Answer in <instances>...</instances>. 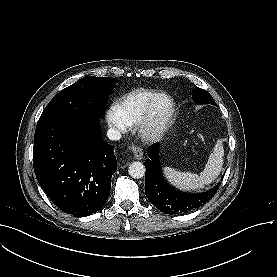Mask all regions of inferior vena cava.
<instances>
[{
    "mask_svg": "<svg viewBox=\"0 0 277 277\" xmlns=\"http://www.w3.org/2000/svg\"><path fill=\"white\" fill-rule=\"evenodd\" d=\"M107 136L110 140H113V141L120 140V138H121V134H120L119 130H117L115 128L108 129Z\"/></svg>",
    "mask_w": 277,
    "mask_h": 277,
    "instance_id": "inferior-vena-cava-1",
    "label": "inferior vena cava"
}]
</instances>
